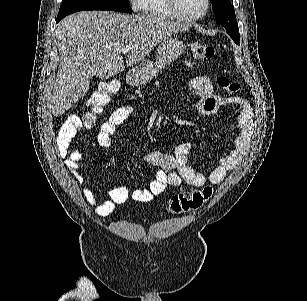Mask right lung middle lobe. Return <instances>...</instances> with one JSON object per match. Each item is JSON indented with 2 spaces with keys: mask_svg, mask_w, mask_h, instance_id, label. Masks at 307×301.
<instances>
[{
  "mask_svg": "<svg viewBox=\"0 0 307 301\" xmlns=\"http://www.w3.org/2000/svg\"><path fill=\"white\" fill-rule=\"evenodd\" d=\"M83 10H112L132 13L129 0H64L57 16V22L65 16Z\"/></svg>",
  "mask_w": 307,
  "mask_h": 301,
  "instance_id": "obj_1",
  "label": "right lung middle lobe"
}]
</instances>
